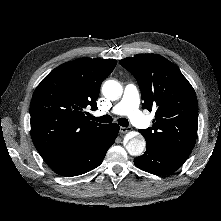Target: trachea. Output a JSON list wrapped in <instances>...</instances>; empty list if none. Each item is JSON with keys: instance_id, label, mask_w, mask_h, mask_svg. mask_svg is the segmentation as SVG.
<instances>
[{"instance_id": "1", "label": "trachea", "mask_w": 221, "mask_h": 221, "mask_svg": "<svg viewBox=\"0 0 221 221\" xmlns=\"http://www.w3.org/2000/svg\"><path fill=\"white\" fill-rule=\"evenodd\" d=\"M91 119L100 123H111L113 121L112 117L110 115H104L101 117H93L91 116ZM118 123L123 127H128L129 122L126 118H120L118 120Z\"/></svg>"}]
</instances>
